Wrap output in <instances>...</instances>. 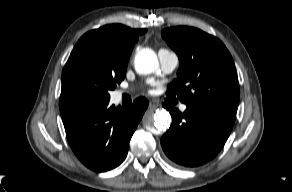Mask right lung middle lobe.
I'll return each mask as SVG.
<instances>
[{
    "label": "right lung middle lobe",
    "instance_id": "1",
    "mask_svg": "<svg viewBox=\"0 0 292 192\" xmlns=\"http://www.w3.org/2000/svg\"><path fill=\"white\" fill-rule=\"evenodd\" d=\"M127 67L113 64L92 43H77L62 72L60 100L109 101V91L125 78Z\"/></svg>",
    "mask_w": 292,
    "mask_h": 192
}]
</instances>
